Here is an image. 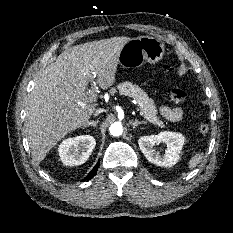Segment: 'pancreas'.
Listing matches in <instances>:
<instances>
[{"mask_svg":"<svg viewBox=\"0 0 233 233\" xmlns=\"http://www.w3.org/2000/svg\"><path fill=\"white\" fill-rule=\"evenodd\" d=\"M117 89L121 95H125L136 100L141 110V115L150 123L163 128L165 124L157 117V110L154 101L148 97L138 85L131 82H122L117 85ZM113 92H116L113 89Z\"/></svg>","mask_w":233,"mask_h":233,"instance_id":"obj_1","label":"pancreas"}]
</instances>
